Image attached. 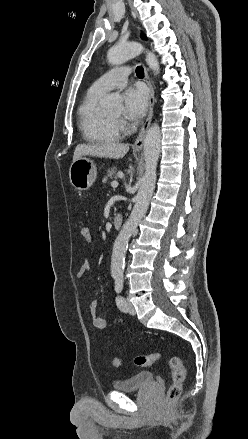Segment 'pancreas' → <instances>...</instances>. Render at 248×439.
Segmentation results:
<instances>
[{
	"label": "pancreas",
	"instance_id": "1",
	"mask_svg": "<svg viewBox=\"0 0 248 439\" xmlns=\"http://www.w3.org/2000/svg\"><path fill=\"white\" fill-rule=\"evenodd\" d=\"M113 178H114V179L117 178V171H116L115 168H111V169L107 170V173H106V175L104 176L103 181H104V182H107L108 179H113Z\"/></svg>",
	"mask_w": 248,
	"mask_h": 439
}]
</instances>
